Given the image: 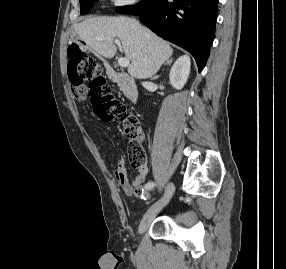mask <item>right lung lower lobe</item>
Here are the masks:
<instances>
[{
    "label": "right lung lower lobe",
    "instance_id": "1",
    "mask_svg": "<svg viewBox=\"0 0 286 269\" xmlns=\"http://www.w3.org/2000/svg\"><path fill=\"white\" fill-rule=\"evenodd\" d=\"M218 0H158L136 15L158 36L179 45L203 70L214 40Z\"/></svg>",
    "mask_w": 286,
    "mask_h": 269
}]
</instances>
